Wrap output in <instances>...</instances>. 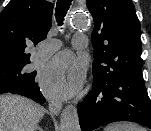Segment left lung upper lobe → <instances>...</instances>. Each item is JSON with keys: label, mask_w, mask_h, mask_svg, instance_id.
I'll use <instances>...</instances> for the list:
<instances>
[{"label": "left lung upper lobe", "mask_w": 151, "mask_h": 131, "mask_svg": "<svg viewBox=\"0 0 151 131\" xmlns=\"http://www.w3.org/2000/svg\"><path fill=\"white\" fill-rule=\"evenodd\" d=\"M94 19L93 82H109L142 68L140 23L131 0H87Z\"/></svg>", "instance_id": "1"}]
</instances>
